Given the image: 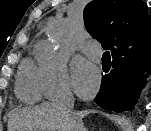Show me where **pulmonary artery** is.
<instances>
[{
    "label": "pulmonary artery",
    "mask_w": 151,
    "mask_h": 131,
    "mask_svg": "<svg viewBox=\"0 0 151 131\" xmlns=\"http://www.w3.org/2000/svg\"><path fill=\"white\" fill-rule=\"evenodd\" d=\"M84 50L87 54H89L90 56H92L96 60H99V61L101 60L102 53H101L100 49L96 48L91 43H86L84 45Z\"/></svg>",
    "instance_id": "1"
}]
</instances>
